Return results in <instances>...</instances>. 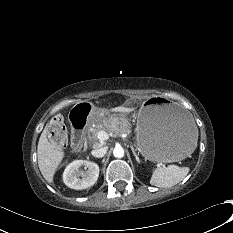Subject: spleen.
<instances>
[{
  "instance_id": "spleen-1",
  "label": "spleen",
  "mask_w": 233,
  "mask_h": 233,
  "mask_svg": "<svg viewBox=\"0 0 233 233\" xmlns=\"http://www.w3.org/2000/svg\"><path fill=\"white\" fill-rule=\"evenodd\" d=\"M188 172V167H179L174 164L159 167L154 170L150 184L160 188H169L182 181Z\"/></svg>"
}]
</instances>
